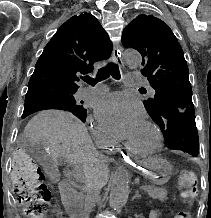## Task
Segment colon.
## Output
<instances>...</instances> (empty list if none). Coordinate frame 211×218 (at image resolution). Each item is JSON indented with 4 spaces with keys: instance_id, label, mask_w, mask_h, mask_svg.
<instances>
[{
    "instance_id": "1",
    "label": "colon",
    "mask_w": 211,
    "mask_h": 218,
    "mask_svg": "<svg viewBox=\"0 0 211 218\" xmlns=\"http://www.w3.org/2000/svg\"><path fill=\"white\" fill-rule=\"evenodd\" d=\"M44 173L34 157L17 150L12 161V181L24 214L29 218H43L50 206L51 192L44 181ZM182 197L191 201L197 195V175L192 170H182L179 176ZM174 218H192L188 211Z\"/></svg>"
}]
</instances>
